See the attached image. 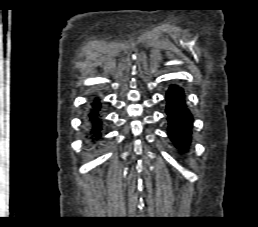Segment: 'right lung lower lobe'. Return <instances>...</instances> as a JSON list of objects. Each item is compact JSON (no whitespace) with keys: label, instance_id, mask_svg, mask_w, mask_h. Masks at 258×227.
Wrapping results in <instances>:
<instances>
[{"label":"right lung lower lobe","instance_id":"obj_1","mask_svg":"<svg viewBox=\"0 0 258 227\" xmlns=\"http://www.w3.org/2000/svg\"><path fill=\"white\" fill-rule=\"evenodd\" d=\"M100 99L96 98L92 103V109L88 114V122L91 124V133L98 139L101 137L102 120L100 113Z\"/></svg>","mask_w":258,"mask_h":227}]
</instances>
